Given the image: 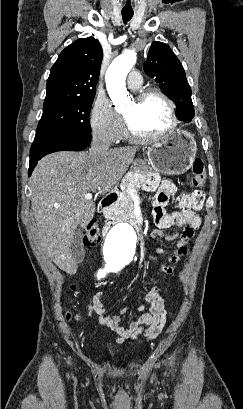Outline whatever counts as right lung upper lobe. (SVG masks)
Instances as JSON below:
<instances>
[{
	"label": "right lung upper lobe",
	"mask_w": 243,
	"mask_h": 409,
	"mask_svg": "<svg viewBox=\"0 0 243 409\" xmlns=\"http://www.w3.org/2000/svg\"><path fill=\"white\" fill-rule=\"evenodd\" d=\"M102 57V47L93 37L66 47L51 68L45 101L94 97Z\"/></svg>",
	"instance_id": "right-lung-upper-lobe-1"
}]
</instances>
